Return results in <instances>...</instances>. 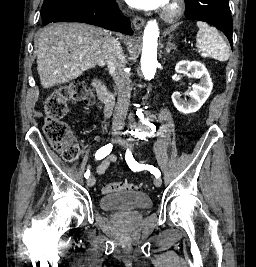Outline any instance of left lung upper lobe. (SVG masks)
<instances>
[{"label":"left lung upper lobe","instance_id":"obj_1","mask_svg":"<svg viewBox=\"0 0 256 267\" xmlns=\"http://www.w3.org/2000/svg\"><path fill=\"white\" fill-rule=\"evenodd\" d=\"M187 2V18L216 26L227 36L233 47V24L228 0H187Z\"/></svg>","mask_w":256,"mask_h":267}]
</instances>
